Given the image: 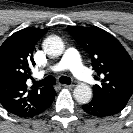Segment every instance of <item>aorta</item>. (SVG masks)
I'll use <instances>...</instances> for the list:
<instances>
[{
  "mask_svg": "<svg viewBox=\"0 0 133 133\" xmlns=\"http://www.w3.org/2000/svg\"><path fill=\"white\" fill-rule=\"evenodd\" d=\"M44 51L50 56H60L64 51V43L58 36H50L43 42ZM73 96L80 103H88L92 98V90L85 83L78 84L73 91Z\"/></svg>",
  "mask_w": 133,
  "mask_h": 133,
  "instance_id": "1",
  "label": "aorta"
}]
</instances>
